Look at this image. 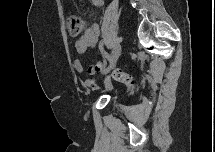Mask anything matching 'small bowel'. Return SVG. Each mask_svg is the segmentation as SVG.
<instances>
[{
  "mask_svg": "<svg viewBox=\"0 0 215 152\" xmlns=\"http://www.w3.org/2000/svg\"><path fill=\"white\" fill-rule=\"evenodd\" d=\"M80 6H84V1L78 0ZM94 6L100 7L104 5L103 0H93ZM101 33V27L98 24H92L87 27L85 33L76 41L75 47L79 54H86L91 48L98 44L99 36ZM75 68L80 74H84L85 69L80 60L75 61ZM85 85L89 88H97V84L93 78L86 77L84 81ZM106 88L110 87L109 83L105 84Z\"/></svg>",
  "mask_w": 215,
  "mask_h": 152,
  "instance_id": "c3829d8e",
  "label": "small bowel"
}]
</instances>
